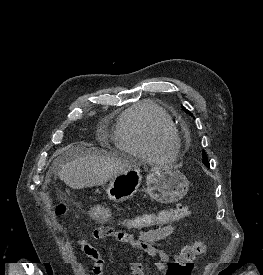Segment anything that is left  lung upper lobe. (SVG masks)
Returning <instances> with one entry per match:
<instances>
[{"label": "left lung upper lobe", "mask_w": 263, "mask_h": 275, "mask_svg": "<svg viewBox=\"0 0 263 275\" xmlns=\"http://www.w3.org/2000/svg\"><path fill=\"white\" fill-rule=\"evenodd\" d=\"M183 109L185 110V112H186L187 114L193 116L192 113H191L190 111H188V110L185 109L184 107H183ZM202 155H203V163H204L207 167H209L210 164H209V162H208V159H207L206 154H205L204 151L202 152Z\"/></svg>", "instance_id": "obj_1"}]
</instances>
